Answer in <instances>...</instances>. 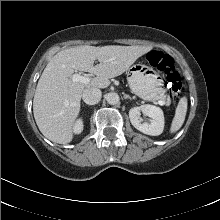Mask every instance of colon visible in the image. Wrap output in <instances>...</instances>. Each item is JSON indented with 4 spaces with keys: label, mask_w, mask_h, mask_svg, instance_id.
Segmentation results:
<instances>
[{
    "label": "colon",
    "mask_w": 220,
    "mask_h": 220,
    "mask_svg": "<svg viewBox=\"0 0 220 220\" xmlns=\"http://www.w3.org/2000/svg\"><path fill=\"white\" fill-rule=\"evenodd\" d=\"M146 61L151 66L154 67L166 75V85L170 91V94L174 101L179 99L182 92V81L179 72L174 66L173 58L158 50H152L146 54Z\"/></svg>",
    "instance_id": "1"
}]
</instances>
